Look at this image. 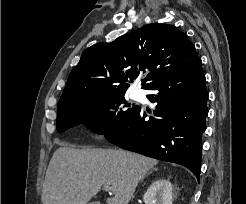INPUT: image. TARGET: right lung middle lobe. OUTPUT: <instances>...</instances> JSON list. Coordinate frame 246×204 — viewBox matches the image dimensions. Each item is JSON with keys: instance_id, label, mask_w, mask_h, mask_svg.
<instances>
[{"instance_id": "dd1d6c3e", "label": "right lung middle lobe", "mask_w": 246, "mask_h": 204, "mask_svg": "<svg viewBox=\"0 0 246 204\" xmlns=\"http://www.w3.org/2000/svg\"><path fill=\"white\" fill-rule=\"evenodd\" d=\"M125 93L108 95H88L75 97L58 103L57 131L83 124L97 134H105L119 127L137 108L122 110ZM113 109L114 112H110ZM116 114V117H115Z\"/></svg>"}]
</instances>
